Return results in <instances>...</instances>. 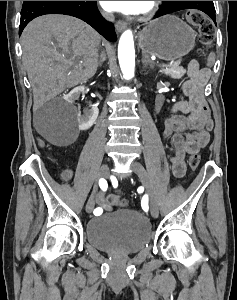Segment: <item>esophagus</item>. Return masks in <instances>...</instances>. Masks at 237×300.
<instances>
[{"instance_id":"obj_1","label":"esophagus","mask_w":237,"mask_h":300,"mask_svg":"<svg viewBox=\"0 0 237 300\" xmlns=\"http://www.w3.org/2000/svg\"><path fill=\"white\" fill-rule=\"evenodd\" d=\"M124 28H126V23L124 21H117L115 24L116 31L121 32L124 30Z\"/></svg>"}]
</instances>
